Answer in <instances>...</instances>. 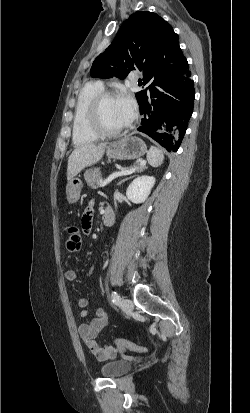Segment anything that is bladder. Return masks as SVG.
Returning <instances> with one entry per match:
<instances>
[{"label":"bladder","mask_w":250,"mask_h":413,"mask_svg":"<svg viewBox=\"0 0 250 413\" xmlns=\"http://www.w3.org/2000/svg\"><path fill=\"white\" fill-rule=\"evenodd\" d=\"M131 368L132 364L130 361L125 359H115L101 365L100 372L105 377L117 378L128 373Z\"/></svg>","instance_id":"1"}]
</instances>
